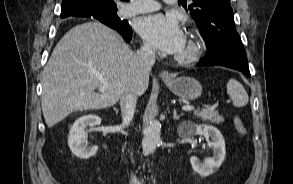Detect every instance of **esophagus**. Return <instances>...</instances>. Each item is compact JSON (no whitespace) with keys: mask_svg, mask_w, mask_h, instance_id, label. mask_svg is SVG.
Returning a JSON list of instances; mask_svg holds the SVG:
<instances>
[{"mask_svg":"<svg viewBox=\"0 0 293 184\" xmlns=\"http://www.w3.org/2000/svg\"><path fill=\"white\" fill-rule=\"evenodd\" d=\"M160 76L164 80H169V79L172 78V75L168 71H166V70L162 71L161 74H160Z\"/></svg>","mask_w":293,"mask_h":184,"instance_id":"34e87169","label":"esophagus"}]
</instances>
